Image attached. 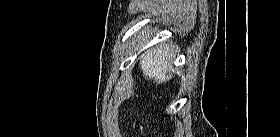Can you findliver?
Segmentation results:
<instances>
[{"label": "liver", "instance_id": "liver-1", "mask_svg": "<svg viewBox=\"0 0 280 137\" xmlns=\"http://www.w3.org/2000/svg\"><path fill=\"white\" fill-rule=\"evenodd\" d=\"M140 67L144 76L154 79L156 84L169 81L172 77L169 48L165 45L152 48L140 60Z\"/></svg>", "mask_w": 280, "mask_h": 137}]
</instances>
